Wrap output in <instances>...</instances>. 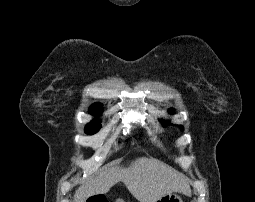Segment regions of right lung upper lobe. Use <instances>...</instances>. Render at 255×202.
Wrapping results in <instances>:
<instances>
[{
    "label": "right lung upper lobe",
    "mask_w": 255,
    "mask_h": 202,
    "mask_svg": "<svg viewBox=\"0 0 255 202\" xmlns=\"http://www.w3.org/2000/svg\"><path fill=\"white\" fill-rule=\"evenodd\" d=\"M89 112L93 115H99L101 112V108L99 105L94 104L90 107Z\"/></svg>",
    "instance_id": "cb5924a9"
}]
</instances>
